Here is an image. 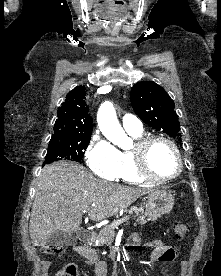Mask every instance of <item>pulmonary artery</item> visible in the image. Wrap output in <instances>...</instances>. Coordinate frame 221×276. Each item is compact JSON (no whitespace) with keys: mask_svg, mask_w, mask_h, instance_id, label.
<instances>
[{"mask_svg":"<svg viewBox=\"0 0 221 276\" xmlns=\"http://www.w3.org/2000/svg\"><path fill=\"white\" fill-rule=\"evenodd\" d=\"M122 125L127 132H142V122L134 115L126 114L122 118Z\"/></svg>","mask_w":221,"mask_h":276,"instance_id":"e3ab8cb5","label":"pulmonary artery"}]
</instances>
